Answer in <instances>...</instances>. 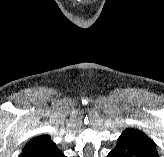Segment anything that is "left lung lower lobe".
<instances>
[{"instance_id":"1","label":"left lung lower lobe","mask_w":164,"mask_h":157,"mask_svg":"<svg viewBox=\"0 0 164 157\" xmlns=\"http://www.w3.org/2000/svg\"><path fill=\"white\" fill-rule=\"evenodd\" d=\"M107 157H159L155 145L134 135L122 134Z\"/></svg>"}]
</instances>
